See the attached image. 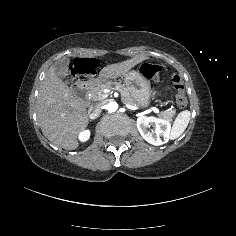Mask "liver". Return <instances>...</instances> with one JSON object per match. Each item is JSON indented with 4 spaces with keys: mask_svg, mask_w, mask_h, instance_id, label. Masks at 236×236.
Masks as SVG:
<instances>
[{
    "mask_svg": "<svg viewBox=\"0 0 236 236\" xmlns=\"http://www.w3.org/2000/svg\"><path fill=\"white\" fill-rule=\"evenodd\" d=\"M147 59L146 56L134 57L108 65L99 72V77L115 79ZM36 109L42 133L48 140L66 150L78 147L77 136L87 127L89 120L86 103L72 95L53 66L41 82Z\"/></svg>",
    "mask_w": 236,
    "mask_h": 236,
    "instance_id": "1",
    "label": "liver"
}]
</instances>
